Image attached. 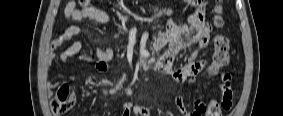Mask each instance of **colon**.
Returning <instances> with one entry per match:
<instances>
[{"label": "colon", "mask_w": 283, "mask_h": 116, "mask_svg": "<svg viewBox=\"0 0 283 116\" xmlns=\"http://www.w3.org/2000/svg\"><path fill=\"white\" fill-rule=\"evenodd\" d=\"M79 2L86 5L89 1L80 0ZM220 3L221 1H216V5L214 7V25L217 28H220L223 25L221 17L222 8ZM214 48L215 50L212 57V63L208 66V74L211 76L217 75L220 69L227 66L230 62V42L228 37L223 34H216L214 37ZM222 77L227 83L231 80V76L228 73L222 74ZM74 100L75 97L71 88L67 84H61L52 96L50 103L51 111L54 115L65 114L73 106ZM231 102L230 98L226 101H212L209 104L210 115L220 116L222 110H229L231 108Z\"/></svg>", "instance_id": "5ec220e1"}]
</instances>
